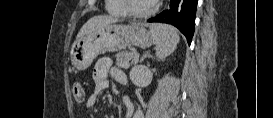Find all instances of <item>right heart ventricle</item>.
I'll return each instance as SVG.
<instances>
[{"label": "right heart ventricle", "mask_w": 273, "mask_h": 118, "mask_svg": "<svg viewBox=\"0 0 273 118\" xmlns=\"http://www.w3.org/2000/svg\"><path fill=\"white\" fill-rule=\"evenodd\" d=\"M106 10L114 15L127 14L124 0H107Z\"/></svg>", "instance_id": "obj_1"}]
</instances>
